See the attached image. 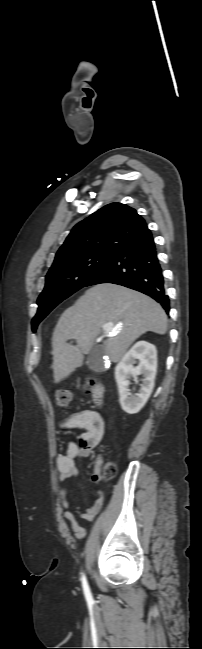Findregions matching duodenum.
<instances>
[{
    "instance_id": "duodenum-1",
    "label": "duodenum",
    "mask_w": 202,
    "mask_h": 649,
    "mask_svg": "<svg viewBox=\"0 0 202 649\" xmlns=\"http://www.w3.org/2000/svg\"><path fill=\"white\" fill-rule=\"evenodd\" d=\"M104 395L105 388L101 383H98L92 391V397L96 405L101 406L103 404Z\"/></svg>"
}]
</instances>
